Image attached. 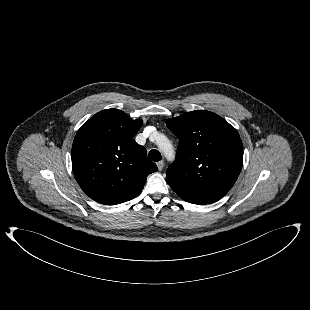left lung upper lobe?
Listing matches in <instances>:
<instances>
[{"mask_svg": "<svg viewBox=\"0 0 310 310\" xmlns=\"http://www.w3.org/2000/svg\"><path fill=\"white\" fill-rule=\"evenodd\" d=\"M179 139L166 172L170 187L185 201L214 203L227 194L243 164L237 130L219 115L195 110L166 121Z\"/></svg>", "mask_w": 310, "mask_h": 310, "instance_id": "1", "label": "left lung upper lobe"}]
</instances>
